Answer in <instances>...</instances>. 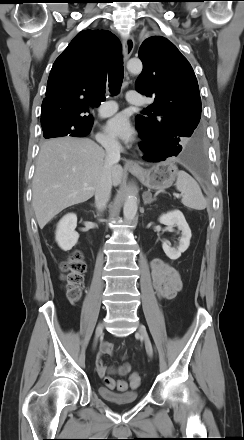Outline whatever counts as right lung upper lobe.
Here are the masks:
<instances>
[{"instance_id":"1","label":"right lung upper lobe","mask_w":244,"mask_h":440,"mask_svg":"<svg viewBox=\"0 0 244 440\" xmlns=\"http://www.w3.org/2000/svg\"><path fill=\"white\" fill-rule=\"evenodd\" d=\"M119 49L120 42L110 31L78 33L52 66L41 122L59 120L75 126L93 122L84 113L105 100L107 67Z\"/></svg>"}]
</instances>
